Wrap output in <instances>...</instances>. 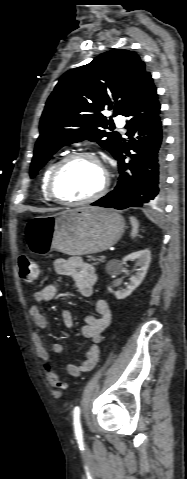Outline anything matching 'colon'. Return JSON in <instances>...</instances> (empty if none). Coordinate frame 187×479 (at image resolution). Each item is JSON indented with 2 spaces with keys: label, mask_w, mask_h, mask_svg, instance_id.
Here are the masks:
<instances>
[{
  "label": "colon",
  "mask_w": 187,
  "mask_h": 479,
  "mask_svg": "<svg viewBox=\"0 0 187 479\" xmlns=\"http://www.w3.org/2000/svg\"><path fill=\"white\" fill-rule=\"evenodd\" d=\"M18 267L21 279L25 283L34 282L39 275V267L35 261L27 256H20L18 259ZM44 374L50 385L56 390H65L66 382L54 371L53 368L46 366Z\"/></svg>",
  "instance_id": "5ec220e1"
}]
</instances>
